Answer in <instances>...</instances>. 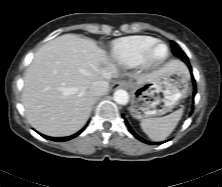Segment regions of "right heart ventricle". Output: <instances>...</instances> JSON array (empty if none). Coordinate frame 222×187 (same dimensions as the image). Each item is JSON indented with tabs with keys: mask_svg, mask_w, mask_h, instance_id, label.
<instances>
[{
	"mask_svg": "<svg viewBox=\"0 0 222 187\" xmlns=\"http://www.w3.org/2000/svg\"><path fill=\"white\" fill-rule=\"evenodd\" d=\"M155 41L150 36L124 37L112 43L110 55L119 65L133 67L141 63L145 51Z\"/></svg>",
	"mask_w": 222,
	"mask_h": 187,
	"instance_id": "e07e8e85",
	"label": "right heart ventricle"
}]
</instances>
